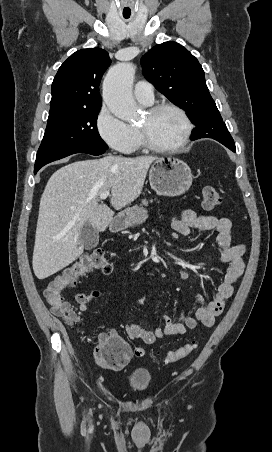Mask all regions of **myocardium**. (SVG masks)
Listing matches in <instances>:
<instances>
[{"label":"myocardium","instance_id":"1","mask_svg":"<svg viewBox=\"0 0 272 452\" xmlns=\"http://www.w3.org/2000/svg\"><path fill=\"white\" fill-rule=\"evenodd\" d=\"M162 110H170L175 112L179 115L183 122V132L178 139V141L172 145H158L153 143L149 137L147 136V133L145 129L141 126L137 127L138 134L141 140L142 145H144L146 148L156 151V152H175L179 149H181L185 144L188 142L191 132H192V123L186 114V112L179 106L172 104V103H160L154 106H151L148 109V114L153 115L156 114Z\"/></svg>","mask_w":272,"mask_h":452}]
</instances>
